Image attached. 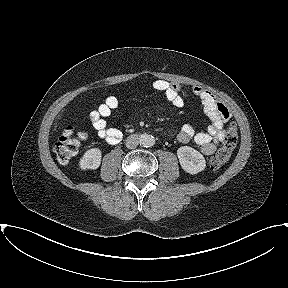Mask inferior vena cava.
<instances>
[{
	"label": "inferior vena cava",
	"instance_id": "1",
	"mask_svg": "<svg viewBox=\"0 0 288 288\" xmlns=\"http://www.w3.org/2000/svg\"><path fill=\"white\" fill-rule=\"evenodd\" d=\"M140 143V138L136 135H130L126 139V147L128 149H135Z\"/></svg>",
	"mask_w": 288,
	"mask_h": 288
}]
</instances>
